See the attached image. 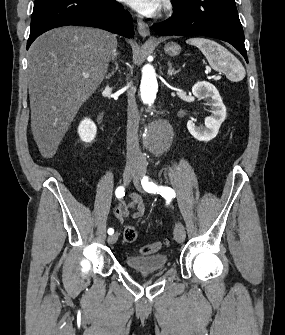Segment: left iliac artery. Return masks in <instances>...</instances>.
<instances>
[{
    "mask_svg": "<svg viewBox=\"0 0 285 335\" xmlns=\"http://www.w3.org/2000/svg\"><path fill=\"white\" fill-rule=\"evenodd\" d=\"M141 184L145 191L148 193L161 194L163 197L170 196L175 197V191L170 187L157 186L151 179L144 176Z\"/></svg>",
    "mask_w": 285,
    "mask_h": 335,
    "instance_id": "left-iliac-artery-1",
    "label": "left iliac artery"
}]
</instances>
